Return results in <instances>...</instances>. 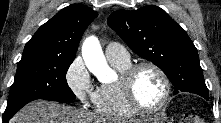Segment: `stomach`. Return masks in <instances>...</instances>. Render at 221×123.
I'll list each match as a JSON object with an SVG mask.
<instances>
[{
	"label": "stomach",
	"mask_w": 221,
	"mask_h": 123,
	"mask_svg": "<svg viewBox=\"0 0 221 123\" xmlns=\"http://www.w3.org/2000/svg\"><path fill=\"white\" fill-rule=\"evenodd\" d=\"M144 123H164V121L161 114H155L154 116L144 120Z\"/></svg>",
	"instance_id": "1"
}]
</instances>
